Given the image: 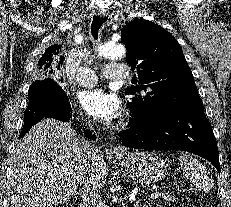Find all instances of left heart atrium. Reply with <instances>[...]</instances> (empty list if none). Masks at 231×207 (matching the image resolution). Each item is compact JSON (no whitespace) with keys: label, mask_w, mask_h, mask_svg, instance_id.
<instances>
[{"label":"left heart atrium","mask_w":231,"mask_h":207,"mask_svg":"<svg viewBox=\"0 0 231 207\" xmlns=\"http://www.w3.org/2000/svg\"><path fill=\"white\" fill-rule=\"evenodd\" d=\"M79 102L90 116L104 122H111L119 118L122 113L120 99L114 93L102 88L81 92Z\"/></svg>","instance_id":"left-heart-atrium-1"}]
</instances>
